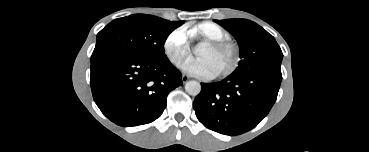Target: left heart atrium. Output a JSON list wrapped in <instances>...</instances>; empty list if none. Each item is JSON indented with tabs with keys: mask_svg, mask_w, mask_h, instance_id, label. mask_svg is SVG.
Returning a JSON list of instances; mask_svg holds the SVG:
<instances>
[{
	"mask_svg": "<svg viewBox=\"0 0 369 152\" xmlns=\"http://www.w3.org/2000/svg\"><path fill=\"white\" fill-rule=\"evenodd\" d=\"M182 70L194 77L212 78L215 76L211 64L205 59L189 60L182 66Z\"/></svg>",
	"mask_w": 369,
	"mask_h": 152,
	"instance_id": "39dd6f15",
	"label": "left heart atrium"
}]
</instances>
